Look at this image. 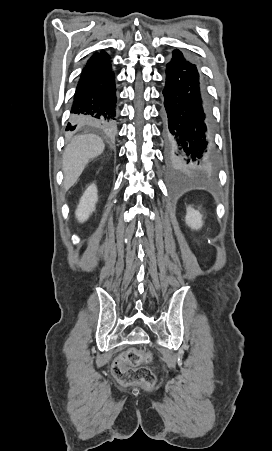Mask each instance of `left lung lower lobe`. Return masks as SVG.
<instances>
[{
    "instance_id": "0a47b994",
    "label": "left lung lower lobe",
    "mask_w": 272,
    "mask_h": 451,
    "mask_svg": "<svg viewBox=\"0 0 272 451\" xmlns=\"http://www.w3.org/2000/svg\"><path fill=\"white\" fill-rule=\"evenodd\" d=\"M163 96L162 133L168 162L177 167H213L204 83L197 65L178 49L166 64Z\"/></svg>"
}]
</instances>
